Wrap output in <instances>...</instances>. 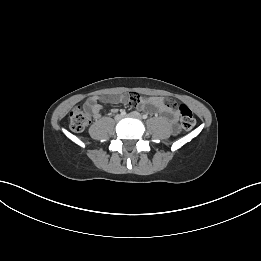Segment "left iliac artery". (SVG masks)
<instances>
[{
  "label": "left iliac artery",
  "mask_w": 261,
  "mask_h": 261,
  "mask_svg": "<svg viewBox=\"0 0 261 261\" xmlns=\"http://www.w3.org/2000/svg\"><path fill=\"white\" fill-rule=\"evenodd\" d=\"M147 117H148V116H147L146 114H144V115L142 116L143 119H147Z\"/></svg>",
  "instance_id": "1"
}]
</instances>
